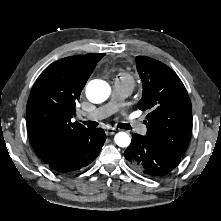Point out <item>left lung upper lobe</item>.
<instances>
[{
    "instance_id": "1",
    "label": "left lung upper lobe",
    "mask_w": 221,
    "mask_h": 221,
    "mask_svg": "<svg viewBox=\"0 0 221 221\" xmlns=\"http://www.w3.org/2000/svg\"><path fill=\"white\" fill-rule=\"evenodd\" d=\"M136 67L143 83L137 107L149 111L146 137L182 158L192 133L191 102L182 81L150 57L137 56Z\"/></svg>"
}]
</instances>
